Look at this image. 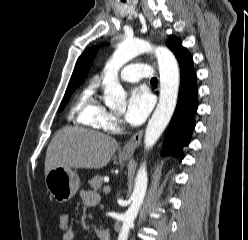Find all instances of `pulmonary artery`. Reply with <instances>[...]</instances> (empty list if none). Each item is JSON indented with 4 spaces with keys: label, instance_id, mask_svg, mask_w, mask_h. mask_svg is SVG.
I'll list each match as a JSON object with an SVG mask.
<instances>
[{
    "label": "pulmonary artery",
    "instance_id": "1",
    "mask_svg": "<svg viewBox=\"0 0 248 240\" xmlns=\"http://www.w3.org/2000/svg\"><path fill=\"white\" fill-rule=\"evenodd\" d=\"M120 78L127 82H138L141 79L152 78V70L144 63H133L121 70Z\"/></svg>",
    "mask_w": 248,
    "mask_h": 240
}]
</instances>
